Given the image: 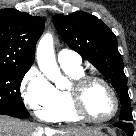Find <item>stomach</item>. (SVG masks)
<instances>
[{
  "label": "stomach",
  "instance_id": "0dacf381",
  "mask_svg": "<svg viewBox=\"0 0 136 136\" xmlns=\"http://www.w3.org/2000/svg\"><path fill=\"white\" fill-rule=\"evenodd\" d=\"M96 136H106L105 134H99V135H96Z\"/></svg>",
  "mask_w": 136,
  "mask_h": 136
}]
</instances>
